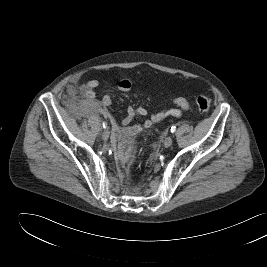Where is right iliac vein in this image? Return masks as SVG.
Returning a JSON list of instances; mask_svg holds the SVG:
<instances>
[{"label":"right iliac vein","instance_id":"obj_1","mask_svg":"<svg viewBox=\"0 0 267 267\" xmlns=\"http://www.w3.org/2000/svg\"><path fill=\"white\" fill-rule=\"evenodd\" d=\"M109 134H110V132H109L107 129L104 130V131L102 132V139H103L104 141H107L108 138H109Z\"/></svg>","mask_w":267,"mask_h":267}]
</instances>
